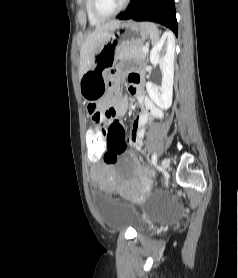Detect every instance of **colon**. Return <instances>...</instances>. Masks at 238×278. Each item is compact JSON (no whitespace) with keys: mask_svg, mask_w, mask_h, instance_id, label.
Segmentation results:
<instances>
[{"mask_svg":"<svg viewBox=\"0 0 238 278\" xmlns=\"http://www.w3.org/2000/svg\"><path fill=\"white\" fill-rule=\"evenodd\" d=\"M112 127L119 126L113 125ZM85 134L87 135L85 141L89 146L87 150L89 153L87 154L88 162H99V159L104 156L107 164H114L118 156L126 149L124 137H97L98 130H86ZM102 135L104 134L102 133Z\"/></svg>","mask_w":238,"mask_h":278,"instance_id":"5ec220e1","label":"colon"}]
</instances>
